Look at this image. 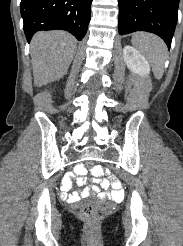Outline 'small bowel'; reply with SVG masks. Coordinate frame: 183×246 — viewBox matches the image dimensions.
Listing matches in <instances>:
<instances>
[{
  "mask_svg": "<svg viewBox=\"0 0 183 246\" xmlns=\"http://www.w3.org/2000/svg\"><path fill=\"white\" fill-rule=\"evenodd\" d=\"M90 178L91 183H95L92 187V190L96 193H99L102 197H107L113 200H118L123 197V190L121 189V185L117 180L110 182L109 180L103 179V174H112V169H105V167H91ZM86 173V169L82 165H78L75 167V174L84 175ZM63 183L60 184V189H62L64 196L73 201H77L80 198H83L89 194L88 190H83L81 192L65 195L69 189H72L71 179L75 178L74 174H65ZM77 183L82 185L84 183L82 178L77 179ZM109 188H112L110 191Z\"/></svg>",
  "mask_w": 183,
  "mask_h": 246,
  "instance_id": "small-bowel-1",
  "label": "small bowel"
}]
</instances>
